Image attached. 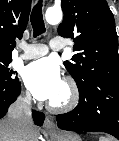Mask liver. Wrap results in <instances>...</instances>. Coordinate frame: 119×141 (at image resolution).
Wrapping results in <instances>:
<instances>
[{
    "label": "liver",
    "mask_w": 119,
    "mask_h": 141,
    "mask_svg": "<svg viewBox=\"0 0 119 141\" xmlns=\"http://www.w3.org/2000/svg\"><path fill=\"white\" fill-rule=\"evenodd\" d=\"M38 136V131L33 125L29 134L21 135L13 122L7 118L0 120V141H35Z\"/></svg>",
    "instance_id": "1"
}]
</instances>
